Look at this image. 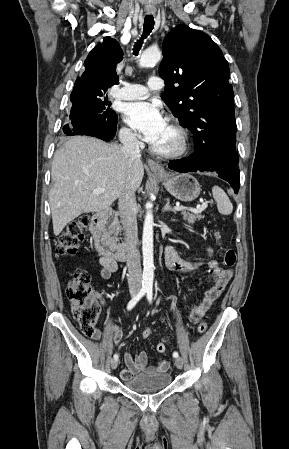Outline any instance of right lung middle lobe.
<instances>
[{"mask_svg": "<svg viewBox=\"0 0 289 449\" xmlns=\"http://www.w3.org/2000/svg\"><path fill=\"white\" fill-rule=\"evenodd\" d=\"M106 91L107 89L74 95L71 98L70 127H76V124L82 122H92L101 127L115 125L117 115L115 111L110 109L111 102H108ZM70 127L66 126L63 129L64 133L68 136H70Z\"/></svg>", "mask_w": 289, "mask_h": 449, "instance_id": "obj_1", "label": "right lung middle lobe"}]
</instances>
